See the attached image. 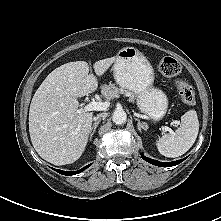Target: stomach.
<instances>
[{"instance_id":"obj_1","label":"stomach","mask_w":221,"mask_h":221,"mask_svg":"<svg viewBox=\"0 0 221 221\" xmlns=\"http://www.w3.org/2000/svg\"><path fill=\"white\" fill-rule=\"evenodd\" d=\"M116 83L135 94L139 110L153 121L161 120L168 108V98L153 86L154 70L142 52L124 47L117 53L113 66Z\"/></svg>"}]
</instances>
